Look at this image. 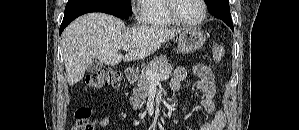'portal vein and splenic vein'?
Wrapping results in <instances>:
<instances>
[{"instance_id":"obj_1","label":"portal vein and splenic vein","mask_w":299,"mask_h":130,"mask_svg":"<svg viewBox=\"0 0 299 130\" xmlns=\"http://www.w3.org/2000/svg\"><path fill=\"white\" fill-rule=\"evenodd\" d=\"M122 49L124 51H128L129 49H131V46H123ZM146 75L150 80V82H155V83L161 80H167L169 78L168 74H157L152 71H147Z\"/></svg>"}]
</instances>
